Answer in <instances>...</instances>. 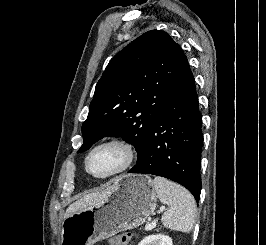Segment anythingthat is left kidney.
I'll use <instances>...</instances> for the list:
<instances>
[{
  "instance_id": "left-kidney-1",
  "label": "left kidney",
  "mask_w": 266,
  "mask_h": 245,
  "mask_svg": "<svg viewBox=\"0 0 266 245\" xmlns=\"http://www.w3.org/2000/svg\"><path fill=\"white\" fill-rule=\"evenodd\" d=\"M138 245H173L171 237L167 235H148Z\"/></svg>"
}]
</instances>
